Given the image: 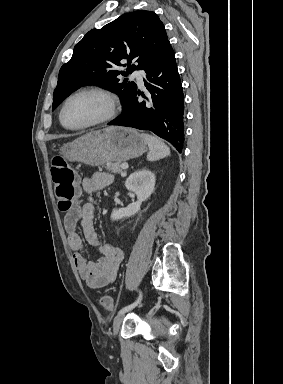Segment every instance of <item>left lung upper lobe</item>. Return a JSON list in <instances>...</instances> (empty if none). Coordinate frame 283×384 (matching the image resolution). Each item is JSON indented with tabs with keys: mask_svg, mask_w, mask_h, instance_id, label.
I'll use <instances>...</instances> for the list:
<instances>
[{
	"mask_svg": "<svg viewBox=\"0 0 283 384\" xmlns=\"http://www.w3.org/2000/svg\"><path fill=\"white\" fill-rule=\"evenodd\" d=\"M168 42L164 25L153 11L127 13L102 29L90 30L74 47L71 60L60 69L53 109L77 88L98 85L118 94L124 110L137 86L121 82L118 76L144 70ZM132 60L138 65L131 66ZM122 61L127 64L122 65ZM126 65L127 72L117 70Z\"/></svg>",
	"mask_w": 283,
	"mask_h": 384,
	"instance_id": "5c2ea615",
	"label": "left lung upper lobe"
}]
</instances>
